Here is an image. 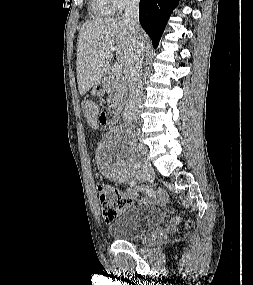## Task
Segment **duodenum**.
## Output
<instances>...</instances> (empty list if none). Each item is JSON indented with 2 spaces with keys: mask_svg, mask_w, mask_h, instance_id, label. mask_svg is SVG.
<instances>
[{
  "mask_svg": "<svg viewBox=\"0 0 253 285\" xmlns=\"http://www.w3.org/2000/svg\"><path fill=\"white\" fill-rule=\"evenodd\" d=\"M104 88H105V82L104 81H100L99 83H97V85H96L97 91L101 92L104 90ZM108 117H109V120L111 122H115L119 117V111L110 112L108 114Z\"/></svg>",
  "mask_w": 253,
  "mask_h": 285,
  "instance_id": "duodenum-1",
  "label": "duodenum"
}]
</instances>
